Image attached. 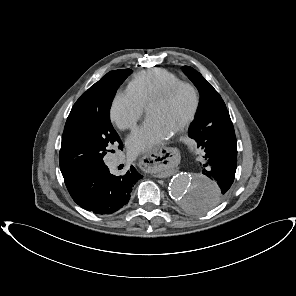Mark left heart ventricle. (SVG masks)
Listing matches in <instances>:
<instances>
[{"label": "left heart ventricle", "mask_w": 296, "mask_h": 296, "mask_svg": "<svg viewBox=\"0 0 296 296\" xmlns=\"http://www.w3.org/2000/svg\"><path fill=\"white\" fill-rule=\"evenodd\" d=\"M191 108L192 96L188 90L182 89L170 100L151 106L148 116L156 118L174 131L187 118Z\"/></svg>", "instance_id": "left-heart-ventricle-1"}]
</instances>
